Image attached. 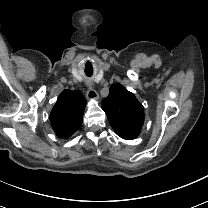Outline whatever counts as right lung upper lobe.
I'll use <instances>...</instances> for the list:
<instances>
[{
  "mask_svg": "<svg viewBox=\"0 0 208 208\" xmlns=\"http://www.w3.org/2000/svg\"><path fill=\"white\" fill-rule=\"evenodd\" d=\"M86 100L78 90H64L58 97L49 116L55 133L61 138H67L82 125Z\"/></svg>",
  "mask_w": 208,
  "mask_h": 208,
  "instance_id": "right-lung-upper-lobe-1",
  "label": "right lung upper lobe"
}]
</instances>
